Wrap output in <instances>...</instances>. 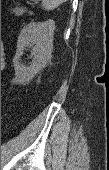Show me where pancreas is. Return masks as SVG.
I'll return each mask as SVG.
<instances>
[{
  "label": "pancreas",
  "mask_w": 109,
  "mask_h": 170,
  "mask_svg": "<svg viewBox=\"0 0 109 170\" xmlns=\"http://www.w3.org/2000/svg\"><path fill=\"white\" fill-rule=\"evenodd\" d=\"M17 10H19V11H17V15H19V14H25V13H30V11L27 9V8H19V9H17Z\"/></svg>",
  "instance_id": "1"
}]
</instances>
